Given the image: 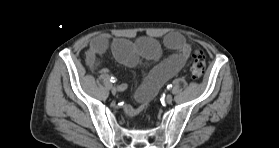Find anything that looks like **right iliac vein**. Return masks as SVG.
I'll use <instances>...</instances> for the list:
<instances>
[{"instance_id":"right-iliac-vein-1","label":"right iliac vein","mask_w":279,"mask_h":148,"mask_svg":"<svg viewBox=\"0 0 279 148\" xmlns=\"http://www.w3.org/2000/svg\"><path fill=\"white\" fill-rule=\"evenodd\" d=\"M122 86H123V85H121L120 88H122ZM111 92H112V94L116 95L117 92H118V88L115 87V86H112V87H111Z\"/></svg>"}]
</instances>
